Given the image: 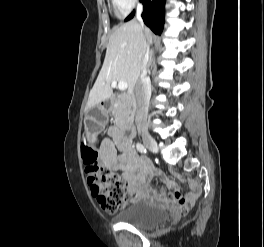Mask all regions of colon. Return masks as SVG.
<instances>
[{"label": "colon", "mask_w": 264, "mask_h": 247, "mask_svg": "<svg viewBox=\"0 0 264 247\" xmlns=\"http://www.w3.org/2000/svg\"><path fill=\"white\" fill-rule=\"evenodd\" d=\"M82 160L92 195L102 210L116 213L124 208L128 203L127 189L116 173L105 171L102 168L97 150L89 146L83 147ZM195 201L196 196L187 201H179L174 205L181 213H185L194 205Z\"/></svg>", "instance_id": "colon-1"}]
</instances>
